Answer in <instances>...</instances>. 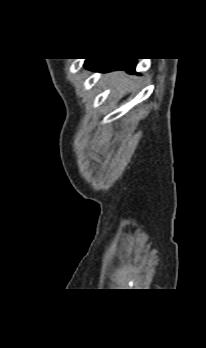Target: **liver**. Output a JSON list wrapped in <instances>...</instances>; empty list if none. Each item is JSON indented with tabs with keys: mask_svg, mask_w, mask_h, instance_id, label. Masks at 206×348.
<instances>
[{
	"mask_svg": "<svg viewBox=\"0 0 206 348\" xmlns=\"http://www.w3.org/2000/svg\"><path fill=\"white\" fill-rule=\"evenodd\" d=\"M107 78H110L111 85L115 86L114 93H119L120 96L130 92L134 86V78L128 77L120 71L109 74Z\"/></svg>",
	"mask_w": 206,
	"mask_h": 348,
	"instance_id": "liver-1",
	"label": "liver"
}]
</instances>
